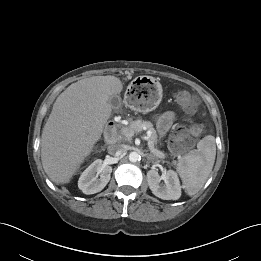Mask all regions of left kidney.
<instances>
[{
	"mask_svg": "<svg viewBox=\"0 0 261 261\" xmlns=\"http://www.w3.org/2000/svg\"><path fill=\"white\" fill-rule=\"evenodd\" d=\"M161 180L165 184H161ZM147 182L152 193L163 200H177L181 196V186L177 173L168 170L161 176L156 170L147 172Z\"/></svg>",
	"mask_w": 261,
	"mask_h": 261,
	"instance_id": "1",
	"label": "left kidney"
}]
</instances>
